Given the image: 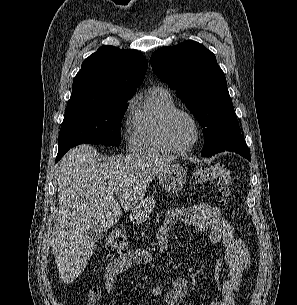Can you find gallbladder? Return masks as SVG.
<instances>
[{"instance_id":"1","label":"gallbladder","mask_w":297,"mask_h":305,"mask_svg":"<svg viewBox=\"0 0 297 305\" xmlns=\"http://www.w3.org/2000/svg\"><path fill=\"white\" fill-rule=\"evenodd\" d=\"M103 232L104 231L101 229L100 225L92 224L87 231V237L95 243L102 238Z\"/></svg>"}]
</instances>
